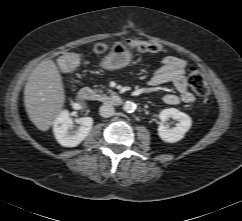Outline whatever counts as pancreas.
<instances>
[{
    "mask_svg": "<svg viewBox=\"0 0 242 221\" xmlns=\"http://www.w3.org/2000/svg\"><path fill=\"white\" fill-rule=\"evenodd\" d=\"M99 93H101L102 91H98ZM108 93H111V94H113V92L111 91V90H108ZM108 99V96H106L105 94H102L101 96H100V100H102V101H105V100H107Z\"/></svg>",
    "mask_w": 242,
    "mask_h": 221,
    "instance_id": "obj_1",
    "label": "pancreas"
}]
</instances>
